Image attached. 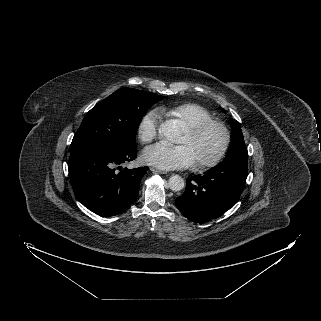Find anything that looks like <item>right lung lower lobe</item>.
Returning a JSON list of instances; mask_svg holds the SVG:
<instances>
[{"label": "right lung lower lobe", "instance_id": "right-lung-lower-lobe-1", "mask_svg": "<svg viewBox=\"0 0 321 321\" xmlns=\"http://www.w3.org/2000/svg\"><path fill=\"white\" fill-rule=\"evenodd\" d=\"M137 156L136 147L113 149L94 144L71 147L70 181L78 200L97 215L121 213L136 199L142 177L149 169H117Z\"/></svg>", "mask_w": 321, "mask_h": 321}]
</instances>
